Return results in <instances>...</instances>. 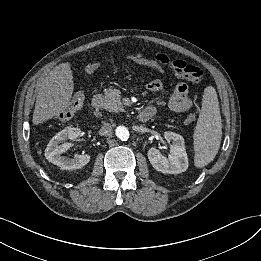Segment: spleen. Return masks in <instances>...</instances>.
Segmentation results:
<instances>
[{"label": "spleen", "instance_id": "1", "mask_svg": "<svg viewBox=\"0 0 261 261\" xmlns=\"http://www.w3.org/2000/svg\"><path fill=\"white\" fill-rule=\"evenodd\" d=\"M222 136V123L217 93L212 86L204 90L202 109L194 131V163L202 168L218 153Z\"/></svg>", "mask_w": 261, "mask_h": 261}]
</instances>
